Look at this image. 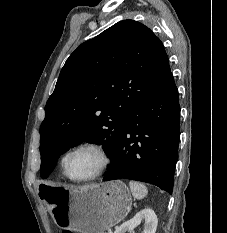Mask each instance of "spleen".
I'll return each instance as SVG.
<instances>
[{"label": "spleen", "mask_w": 227, "mask_h": 233, "mask_svg": "<svg viewBox=\"0 0 227 233\" xmlns=\"http://www.w3.org/2000/svg\"><path fill=\"white\" fill-rule=\"evenodd\" d=\"M129 187L134 198L138 200L144 198L148 193L146 186L140 182L130 181Z\"/></svg>", "instance_id": "obj_1"}]
</instances>
